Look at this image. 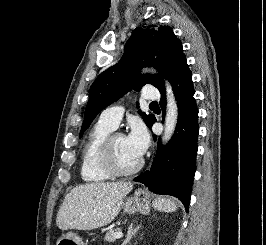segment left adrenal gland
<instances>
[{
    "instance_id": "a2214340",
    "label": "left adrenal gland",
    "mask_w": 266,
    "mask_h": 245,
    "mask_svg": "<svg viewBox=\"0 0 266 245\" xmlns=\"http://www.w3.org/2000/svg\"><path fill=\"white\" fill-rule=\"evenodd\" d=\"M138 229H139V227H137V229H134L133 223H131L130 227H128L126 239H125L123 245H127V243H129L130 239H133V237H135Z\"/></svg>"
}]
</instances>
